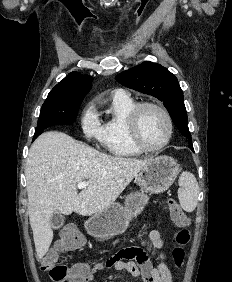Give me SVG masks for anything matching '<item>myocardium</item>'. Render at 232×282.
<instances>
[{"instance_id": "myocardium-1", "label": "myocardium", "mask_w": 232, "mask_h": 282, "mask_svg": "<svg viewBox=\"0 0 232 282\" xmlns=\"http://www.w3.org/2000/svg\"><path fill=\"white\" fill-rule=\"evenodd\" d=\"M147 108H153L157 111H159L163 117L166 120L167 123V127H168V133L167 136L165 138V140L157 145V146H149L147 145L141 138L140 136V132H139V120H140V116L141 113L143 112V110L147 109ZM127 128H128V133H129V137L130 140L132 141V143L141 151L144 152H154V151H158L163 149L165 146H167L169 144V142L171 141L172 137H173V133H174V124H173V120L169 114V112L162 107L161 105L154 103V102H141V103H137L129 112L128 116H127Z\"/></svg>"}]
</instances>
